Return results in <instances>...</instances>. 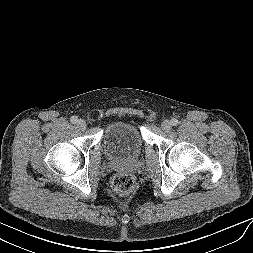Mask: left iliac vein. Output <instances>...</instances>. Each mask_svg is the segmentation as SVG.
<instances>
[{
	"label": "left iliac vein",
	"mask_w": 253,
	"mask_h": 253,
	"mask_svg": "<svg viewBox=\"0 0 253 253\" xmlns=\"http://www.w3.org/2000/svg\"><path fill=\"white\" fill-rule=\"evenodd\" d=\"M171 122L168 120H164L161 124V128L165 132H169L171 130Z\"/></svg>",
	"instance_id": "4c4485c4"
}]
</instances>
